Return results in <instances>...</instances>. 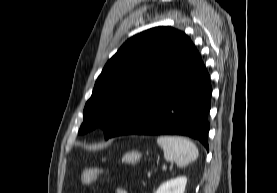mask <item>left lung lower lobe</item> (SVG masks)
Segmentation results:
<instances>
[{
  "label": "left lung lower lobe",
  "instance_id": "1",
  "mask_svg": "<svg viewBox=\"0 0 277 193\" xmlns=\"http://www.w3.org/2000/svg\"><path fill=\"white\" fill-rule=\"evenodd\" d=\"M210 76L195 49L186 62L143 99L109 138L128 135H185L208 149Z\"/></svg>",
  "mask_w": 277,
  "mask_h": 193
}]
</instances>
